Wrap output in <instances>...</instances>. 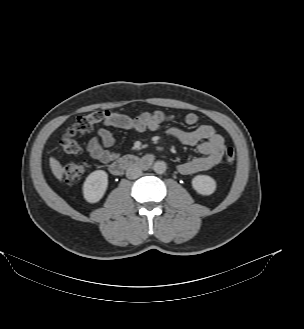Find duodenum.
Wrapping results in <instances>:
<instances>
[{"instance_id":"duodenum-1","label":"duodenum","mask_w":304,"mask_h":329,"mask_svg":"<svg viewBox=\"0 0 304 329\" xmlns=\"http://www.w3.org/2000/svg\"><path fill=\"white\" fill-rule=\"evenodd\" d=\"M153 161L152 155H146L144 157H137L135 155H127L119 158L111 163L110 171L112 174L119 176L123 174L126 170L140 167L145 168L149 166Z\"/></svg>"}]
</instances>
